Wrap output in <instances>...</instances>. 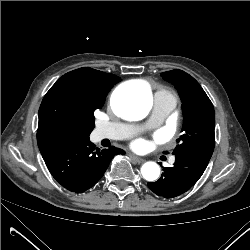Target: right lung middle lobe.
I'll use <instances>...</instances> for the list:
<instances>
[{
	"mask_svg": "<svg viewBox=\"0 0 250 250\" xmlns=\"http://www.w3.org/2000/svg\"><path fill=\"white\" fill-rule=\"evenodd\" d=\"M105 101L99 103V104H95V105H92L88 108L87 110V114H86V117H87V123H88V130L87 132L85 133V136H89L90 135V132L93 130L95 124H94V121H95V117H94V111L96 109H100L102 108L103 104H104Z\"/></svg>",
	"mask_w": 250,
	"mask_h": 250,
	"instance_id": "obj_1",
	"label": "right lung middle lobe"
}]
</instances>
